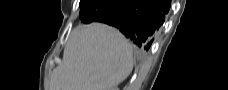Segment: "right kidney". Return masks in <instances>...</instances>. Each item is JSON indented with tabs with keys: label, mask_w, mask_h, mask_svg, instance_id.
Returning <instances> with one entry per match:
<instances>
[{
	"label": "right kidney",
	"mask_w": 228,
	"mask_h": 90,
	"mask_svg": "<svg viewBox=\"0 0 228 90\" xmlns=\"http://www.w3.org/2000/svg\"><path fill=\"white\" fill-rule=\"evenodd\" d=\"M111 90H118V88H112Z\"/></svg>",
	"instance_id": "1"
}]
</instances>
